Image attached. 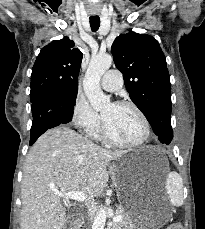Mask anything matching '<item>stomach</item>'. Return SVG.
<instances>
[{"mask_svg":"<svg viewBox=\"0 0 205 229\" xmlns=\"http://www.w3.org/2000/svg\"><path fill=\"white\" fill-rule=\"evenodd\" d=\"M153 149L148 146L125 154L111 168V177L121 199L123 210L134 229H159L169 218L168 210L159 202L141 194L145 174L144 161Z\"/></svg>","mask_w":205,"mask_h":229,"instance_id":"1","label":"stomach"}]
</instances>
